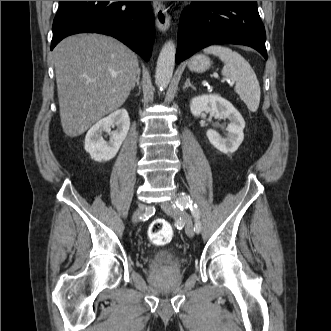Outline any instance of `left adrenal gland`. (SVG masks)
<instances>
[{
	"mask_svg": "<svg viewBox=\"0 0 331 331\" xmlns=\"http://www.w3.org/2000/svg\"><path fill=\"white\" fill-rule=\"evenodd\" d=\"M188 87H191V88L195 89V87L191 84L189 78L186 80V82H185V84L183 86V90L186 89V88H188Z\"/></svg>",
	"mask_w": 331,
	"mask_h": 331,
	"instance_id": "obj_1",
	"label": "left adrenal gland"
}]
</instances>
